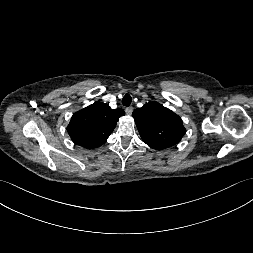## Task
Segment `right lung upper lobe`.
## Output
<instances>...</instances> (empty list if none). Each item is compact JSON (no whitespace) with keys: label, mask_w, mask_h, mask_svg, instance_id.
<instances>
[{"label":"right lung upper lobe","mask_w":253,"mask_h":253,"mask_svg":"<svg viewBox=\"0 0 253 253\" xmlns=\"http://www.w3.org/2000/svg\"><path fill=\"white\" fill-rule=\"evenodd\" d=\"M124 110L111 109L108 104L95 102L73 114L67 131L72 141L87 149L104 144L113 132Z\"/></svg>","instance_id":"cb5924a9"}]
</instances>
